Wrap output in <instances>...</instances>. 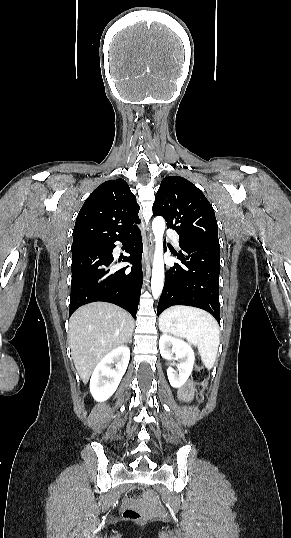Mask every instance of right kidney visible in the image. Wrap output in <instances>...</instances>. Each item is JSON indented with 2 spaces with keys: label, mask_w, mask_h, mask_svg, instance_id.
Here are the masks:
<instances>
[{
  "label": "right kidney",
  "mask_w": 291,
  "mask_h": 538,
  "mask_svg": "<svg viewBox=\"0 0 291 538\" xmlns=\"http://www.w3.org/2000/svg\"><path fill=\"white\" fill-rule=\"evenodd\" d=\"M129 359L130 349L121 345L106 354L97 364L90 379V391L96 401H106L116 391ZM113 363L115 369H112Z\"/></svg>",
  "instance_id": "1"
}]
</instances>
